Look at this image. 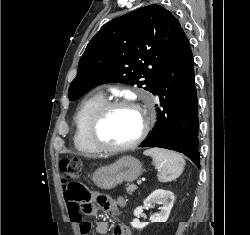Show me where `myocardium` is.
Here are the masks:
<instances>
[{
    "mask_svg": "<svg viewBox=\"0 0 250 235\" xmlns=\"http://www.w3.org/2000/svg\"><path fill=\"white\" fill-rule=\"evenodd\" d=\"M128 107L137 110L142 117V126L136 138L126 144L112 145L104 142L100 137V128L106 116L116 108ZM150 125V117L148 111L136 100L121 97L113 100L105 101L100 108L93 114L88 126V138L93 146L100 151L116 153L136 148L147 136Z\"/></svg>",
    "mask_w": 250,
    "mask_h": 235,
    "instance_id": "myocardium-1",
    "label": "myocardium"
}]
</instances>
